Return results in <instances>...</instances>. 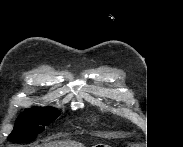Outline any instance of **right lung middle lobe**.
I'll return each instance as SVG.
<instances>
[{"instance_id": "right-lung-middle-lobe-1", "label": "right lung middle lobe", "mask_w": 183, "mask_h": 147, "mask_svg": "<svg viewBox=\"0 0 183 147\" xmlns=\"http://www.w3.org/2000/svg\"><path fill=\"white\" fill-rule=\"evenodd\" d=\"M58 115V111L51 107L26 110L18 117L9 139L31 142L44 130L43 126L55 120Z\"/></svg>"}]
</instances>
